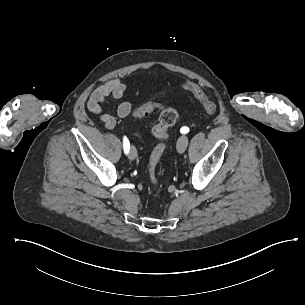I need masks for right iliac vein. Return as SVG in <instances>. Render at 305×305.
<instances>
[{
    "label": "right iliac vein",
    "mask_w": 305,
    "mask_h": 305,
    "mask_svg": "<svg viewBox=\"0 0 305 305\" xmlns=\"http://www.w3.org/2000/svg\"><path fill=\"white\" fill-rule=\"evenodd\" d=\"M136 156H137V151H136V149H135L134 146H131L130 152H129V158H130L131 160H135V159H136Z\"/></svg>",
    "instance_id": "right-iliac-vein-1"
}]
</instances>
